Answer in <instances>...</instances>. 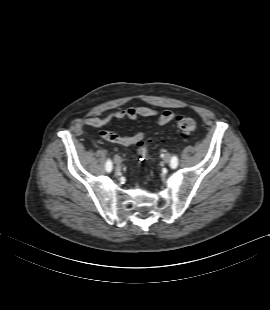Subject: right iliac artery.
<instances>
[{
  "mask_svg": "<svg viewBox=\"0 0 270 310\" xmlns=\"http://www.w3.org/2000/svg\"><path fill=\"white\" fill-rule=\"evenodd\" d=\"M112 168H113V166H112V161H111L110 159H107L106 165H105L106 171H107V172H111V171H112Z\"/></svg>",
  "mask_w": 270,
  "mask_h": 310,
  "instance_id": "obj_1",
  "label": "right iliac artery"
}]
</instances>
